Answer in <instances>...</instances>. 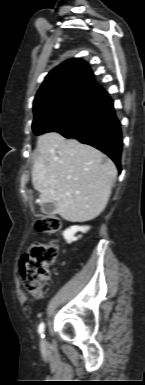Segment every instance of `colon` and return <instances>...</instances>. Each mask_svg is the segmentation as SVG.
Segmentation results:
<instances>
[{
    "label": "colon",
    "mask_w": 145,
    "mask_h": 385,
    "mask_svg": "<svg viewBox=\"0 0 145 385\" xmlns=\"http://www.w3.org/2000/svg\"><path fill=\"white\" fill-rule=\"evenodd\" d=\"M62 221L58 216L45 215L37 220L35 231L42 235H54L61 231ZM58 255L56 241L33 243L23 254L20 273L25 288L35 297L43 295L44 286L50 279V270Z\"/></svg>",
    "instance_id": "colon-1"
}]
</instances>
